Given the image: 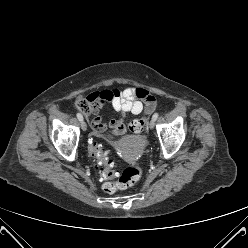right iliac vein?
Here are the masks:
<instances>
[{"label":"right iliac vein","instance_id":"right-iliac-vein-1","mask_svg":"<svg viewBox=\"0 0 248 248\" xmlns=\"http://www.w3.org/2000/svg\"><path fill=\"white\" fill-rule=\"evenodd\" d=\"M81 127H82L83 131L87 130V125L83 120L81 121Z\"/></svg>","mask_w":248,"mask_h":248}]
</instances>
